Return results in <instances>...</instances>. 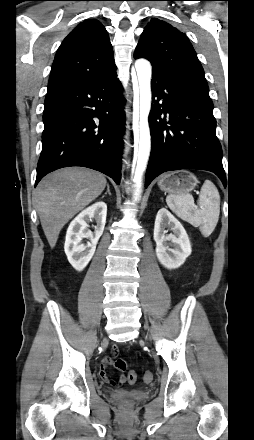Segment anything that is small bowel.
Wrapping results in <instances>:
<instances>
[{"mask_svg": "<svg viewBox=\"0 0 254 440\" xmlns=\"http://www.w3.org/2000/svg\"><path fill=\"white\" fill-rule=\"evenodd\" d=\"M117 352H118L117 347H113L112 350H111V354L115 355ZM111 362H112V357L111 356L110 357H105L101 361V370L99 372V376L101 377V379L103 381H105L107 383H110L111 380L108 378L105 369L111 365Z\"/></svg>", "mask_w": 254, "mask_h": 440, "instance_id": "c3829d8e", "label": "small bowel"}]
</instances>
